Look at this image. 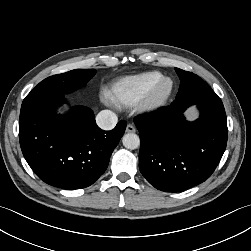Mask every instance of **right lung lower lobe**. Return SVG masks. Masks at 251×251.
I'll list each match as a JSON object with an SVG mask.
<instances>
[{"mask_svg":"<svg viewBox=\"0 0 251 251\" xmlns=\"http://www.w3.org/2000/svg\"><path fill=\"white\" fill-rule=\"evenodd\" d=\"M64 101V94L54 92L31 91L25 97L19 119L21 150L45 183L62 189L86 188L107 169L126 122H118L111 131L101 130L93 111L84 106L56 115Z\"/></svg>","mask_w":251,"mask_h":251,"instance_id":"obj_1","label":"right lung lower lobe"}]
</instances>
